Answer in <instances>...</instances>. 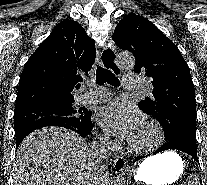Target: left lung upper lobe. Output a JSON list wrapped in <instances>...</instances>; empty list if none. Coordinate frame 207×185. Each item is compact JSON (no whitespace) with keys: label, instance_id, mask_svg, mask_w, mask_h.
<instances>
[{"label":"left lung upper lobe","instance_id":"obj_1","mask_svg":"<svg viewBox=\"0 0 207 185\" xmlns=\"http://www.w3.org/2000/svg\"><path fill=\"white\" fill-rule=\"evenodd\" d=\"M112 38L134 54V71L152 80L153 97H145L139 108L159 121L166 141L181 138L197 149L194 84L178 47L149 20L132 13L118 23Z\"/></svg>","mask_w":207,"mask_h":185}]
</instances>
